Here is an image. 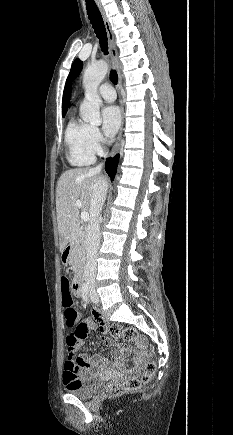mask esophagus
<instances>
[{"instance_id": "esophagus-1", "label": "esophagus", "mask_w": 233, "mask_h": 435, "mask_svg": "<svg viewBox=\"0 0 233 435\" xmlns=\"http://www.w3.org/2000/svg\"><path fill=\"white\" fill-rule=\"evenodd\" d=\"M98 9L102 15L103 21H104V25H105V29L107 32V36H108V41H109V48H110V55H111V60L113 62V65L117 71L118 74V91H119V102H120V108H121V127L119 130V134L117 136V140L116 143L114 144L111 152H110V156H114L117 154L120 145H121V138H122V134H123V124H124V105H123V101H122V94H121V90H122V76H121V72H120V62L118 59V50L115 44V37L110 25V22L105 14L104 8L101 5L100 0H95Z\"/></svg>"}]
</instances>
